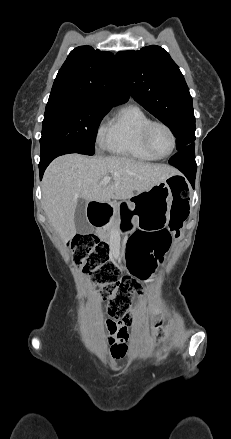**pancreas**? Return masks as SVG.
<instances>
[{
	"label": "pancreas",
	"instance_id": "cf45deb5",
	"mask_svg": "<svg viewBox=\"0 0 231 439\" xmlns=\"http://www.w3.org/2000/svg\"><path fill=\"white\" fill-rule=\"evenodd\" d=\"M114 206H115V208L117 209L118 206H119V204L116 203V204H114ZM118 221H119V219H118V215H116V217H115V219H114V223H118Z\"/></svg>",
	"mask_w": 231,
	"mask_h": 439
}]
</instances>
